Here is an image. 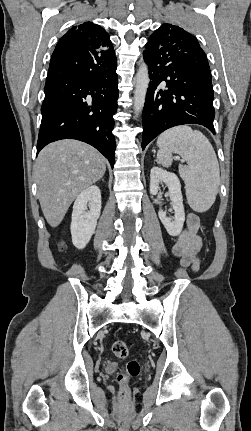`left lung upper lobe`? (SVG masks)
I'll return each mask as SVG.
<instances>
[{
	"instance_id": "left-lung-upper-lobe-1",
	"label": "left lung upper lobe",
	"mask_w": 251,
	"mask_h": 431,
	"mask_svg": "<svg viewBox=\"0 0 251 431\" xmlns=\"http://www.w3.org/2000/svg\"><path fill=\"white\" fill-rule=\"evenodd\" d=\"M151 37L155 39H167L168 41H173L175 43L193 40L196 44H199L190 33L171 24H162L161 27L151 35Z\"/></svg>"
}]
</instances>
